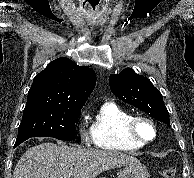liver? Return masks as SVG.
Listing matches in <instances>:
<instances>
[{
  "instance_id": "obj_1",
  "label": "liver",
  "mask_w": 194,
  "mask_h": 178,
  "mask_svg": "<svg viewBox=\"0 0 194 178\" xmlns=\"http://www.w3.org/2000/svg\"><path fill=\"white\" fill-rule=\"evenodd\" d=\"M134 163L139 160L117 151L42 143L22 155L12 178H94L103 171Z\"/></svg>"
}]
</instances>
